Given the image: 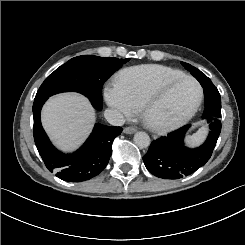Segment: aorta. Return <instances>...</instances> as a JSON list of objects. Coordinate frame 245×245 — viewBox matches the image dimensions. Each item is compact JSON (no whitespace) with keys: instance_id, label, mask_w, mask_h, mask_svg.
<instances>
[{"instance_id":"obj_1","label":"aorta","mask_w":245,"mask_h":245,"mask_svg":"<svg viewBox=\"0 0 245 245\" xmlns=\"http://www.w3.org/2000/svg\"><path fill=\"white\" fill-rule=\"evenodd\" d=\"M134 142L139 148H146L150 145V137L145 132H137L134 135Z\"/></svg>"}]
</instances>
